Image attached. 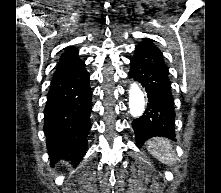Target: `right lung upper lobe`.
Segmentation results:
<instances>
[{"label":"right lung upper lobe","instance_id":"1","mask_svg":"<svg viewBox=\"0 0 221 193\" xmlns=\"http://www.w3.org/2000/svg\"><path fill=\"white\" fill-rule=\"evenodd\" d=\"M83 65L84 62L78 57V50L70 47L61 55L54 75L71 72Z\"/></svg>","mask_w":221,"mask_h":193}]
</instances>
